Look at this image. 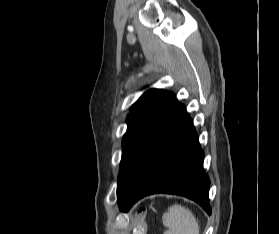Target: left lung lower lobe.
Segmentation results:
<instances>
[{
    "label": "left lung lower lobe",
    "mask_w": 279,
    "mask_h": 234,
    "mask_svg": "<svg viewBox=\"0 0 279 234\" xmlns=\"http://www.w3.org/2000/svg\"><path fill=\"white\" fill-rule=\"evenodd\" d=\"M192 120L172 92H167L135 155L121 191L123 211L153 193L186 196L211 214L209 178Z\"/></svg>",
    "instance_id": "0a47b994"
}]
</instances>
